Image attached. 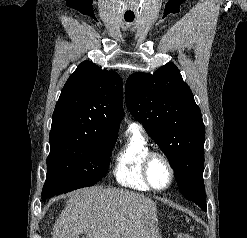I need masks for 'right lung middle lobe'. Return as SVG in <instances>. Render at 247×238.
Instances as JSON below:
<instances>
[{
	"mask_svg": "<svg viewBox=\"0 0 247 238\" xmlns=\"http://www.w3.org/2000/svg\"><path fill=\"white\" fill-rule=\"evenodd\" d=\"M116 138L95 133H67L50 137L42 200L100 181L109 167Z\"/></svg>",
	"mask_w": 247,
	"mask_h": 238,
	"instance_id": "right-lung-middle-lobe-1",
	"label": "right lung middle lobe"
}]
</instances>
